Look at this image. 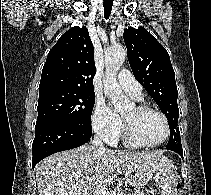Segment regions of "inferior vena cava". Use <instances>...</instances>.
<instances>
[{"mask_svg":"<svg viewBox=\"0 0 211 195\" xmlns=\"http://www.w3.org/2000/svg\"><path fill=\"white\" fill-rule=\"evenodd\" d=\"M92 145H94L95 147H98L100 150H103V151L105 150L103 142L97 135L94 136ZM94 193H95V195H107V190H106L105 185H103L102 182H98Z\"/></svg>","mask_w":211,"mask_h":195,"instance_id":"1","label":"inferior vena cava"}]
</instances>
